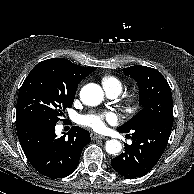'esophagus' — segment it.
Listing matches in <instances>:
<instances>
[{
    "instance_id": "1",
    "label": "esophagus",
    "mask_w": 194,
    "mask_h": 194,
    "mask_svg": "<svg viewBox=\"0 0 194 194\" xmlns=\"http://www.w3.org/2000/svg\"><path fill=\"white\" fill-rule=\"evenodd\" d=\"M91 139L98 140V139H105V137L96 133H91Z\"/></svg>"
}]
</instances>
